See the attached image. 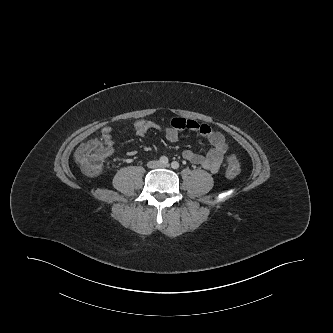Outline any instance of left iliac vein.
<instances>
[{
	"instance_id": "obj_1",
	"label": "left iliac vein",
	"mask_w": 333,
	"mask_h": 333,
	"mask_svg": "<svg viewBox=\"0 0 333 333\" xmlns=\"http://www.w3.org/2000/svg\"><path fill=\"white\" fill-rule=\"evenodd\" d=\"M162 168H167L169 165L168 164H166V165H160Z\"/></svg>"
}]
</instances>
